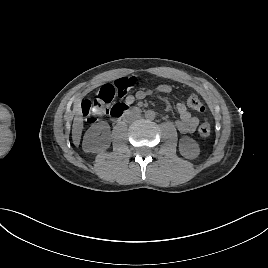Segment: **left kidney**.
I'll list each match as a JSON object with an SVG mask.
<instances>
[{
    "label": "left kidney",
    "instance_id": "left-kidney-1",
    "mask_svg": "<svg viewBox=\"0 0 268 268\" xmlns=\"http://www.w3.org/2000/svg\"><path fill=\"white\" fill-rule=\"evenodd\" d=\"M179 151L180 154L187 159L197 158L200 154L198 143L194 139L187 136H184L180 139Z\"/></svg>",
    "mask_w": 268,
    "mask_h": 268
}]
</instances>
